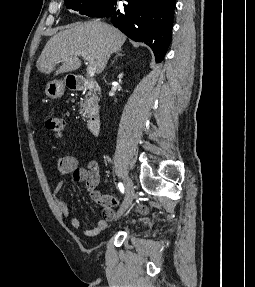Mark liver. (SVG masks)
<instances>
[{
	"mask_svg": "<svg viewBox=\"0 0 255 287\" xmlns=\"http://www.w3.org/2000/svg\"><path fill=\"white\" fill-rule=\"evenodd\" d=\"M125 40L126 36L109 24H69L48 40L36 66L39 72L50 74L56 70V64L63 62L62 66L57 68L55 76L64 72H74L81 66L78 56L87 52L97 64L96 74H101L111 54L119 52Z\"/></svg>",
	"mask_w": 255,
	"mask_h": 287,
	"instance_id": "liver-1",
	"label": "liver"
}]
</instances>
